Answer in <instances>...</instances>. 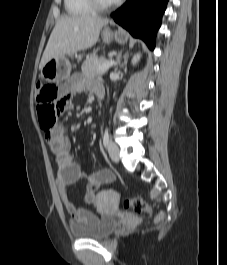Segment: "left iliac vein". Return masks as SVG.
<instances>
[{
	"label": "left iliac vein",
	"instance_id": "left-iliac-vein-1",
	"mask_svg": "<svg viewBox=\"0 0 227 265\" xmlns=\"http://www.w3.org/2000/svg\"><path fill=\"white\" fill-rule=\"evenodd\" d=\"M108 153L112 161L118 162L119 161V149L114 142L108 143Z\"/></svg>",
	"mask_w": 227,
	"mask_h": 265
}]
</instances>
